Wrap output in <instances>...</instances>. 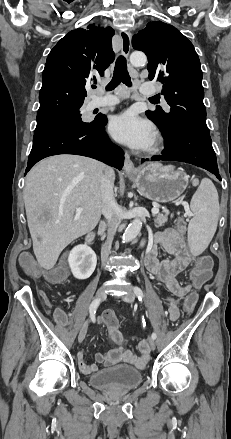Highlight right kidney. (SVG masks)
I'll use <instances>...</instances> for the list:
<instances>
[{
    "instance_id": "obj_1",
    "label": "right kidney",
    "mask_w": 231,
    "mask_h": 439,
    "mask_svg": "<svg viewBox=\"0 0 231 439\" xmlns=\"http://www.w3.org/2000/svg\"><path fill=\"white\" fill-rule=\"evenodd\" d=\"M68 262L73 276L83 280L89 278L94 272L97 257L89 246L78 245L71 250Z\"/></svg>"
}]
</instances>
